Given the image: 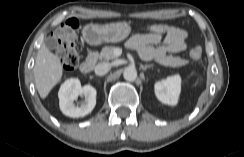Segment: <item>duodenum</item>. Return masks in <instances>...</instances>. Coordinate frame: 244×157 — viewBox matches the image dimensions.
Masks as SVG:
<instances>
[{"label": "duodenum", "mask_w": 244, "mask_h": 157, "mask_svg": "<svg viewBox=\"0 0 244 157\" xmlns=\"http://www.w3.org/2000/svg\"><path fill=\"white\" fill-rule=\"evenodd\" d=\"M97 61V54L95 52H90L86 60L81 64L80 70L84 74L92 72Z\"/></svg>", "instance_id": "1"}]
</instances>
